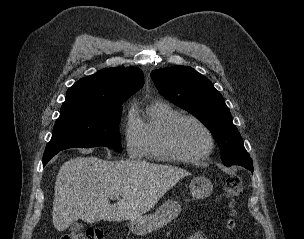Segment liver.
Wrapping results in <instances>:
<instances>
[{
	"mask_svg": "<svg viewBox=\"0 0 304 239\" xmlns=\"http://www.w3.org/2000/svg\"><path fill=\"white\" fill-rule=\"evenodd\" d=\"M188 175L175 166L140 160L71 158L60 167L56 177L53 225L63 231L78 219L94 223L138 218ZM113 194L120 198L110 204Z\"/></svg>",
	"mask_w": 304,
	"mask_h": 239,
	"instance_id": "6515ba94",
	"label": "liver"
}]
</instances>
